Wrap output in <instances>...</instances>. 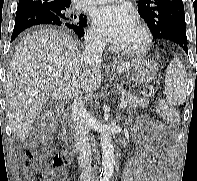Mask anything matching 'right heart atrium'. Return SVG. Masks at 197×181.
I'll return each mask as SVG.
<instances>
[{
	"label": "right heart atrium",
	"instance_id": "1",
	"mask_svg": "<svg viewBox=\"0 0 197 181\" xmlns=\"http://www.w3.org/2000/svg\"><path fill=\"white\" fill-rule=\"evenodd\" d=\"M88 38L89 41L96 46H102L105 42L104 37L95 27L89 29Z\"/></svg>",
	"mask_w": 197,
	"mask_h": 181
}]
</instances>
